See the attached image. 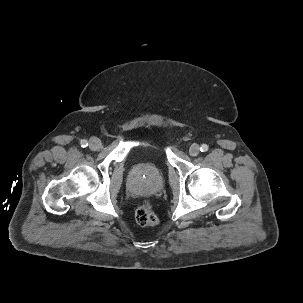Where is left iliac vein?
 I'll return each mask as SVG.
<instances>
[{
    "mask_svg": "<svg viewBox=\"0 0 303 303\" xmlns=\"http://www.w3.org/2000/svg\"><path fill=\"white\" fill-rule=\"evenodd\" d=\"M200 152L199 146L197 144H192L189 148V154L191 156H197Z\"/></svg>",
    "mask_w": 303,
    "mask_h": 303,
    "instance_id": "left-iliac-vein-1",
    "label": "left iliac vein"
}]
</instances>
